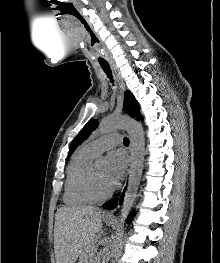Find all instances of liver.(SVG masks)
<instances>
[{
  "label": "liver",
  "mask_w": 220,
  "mask_h": 263,
  "mask_svg": "<svg viewBox=\"0 0 220 263\" xmlns=\"http://www.w3.org/2000/svg\"><path fill=\"white\" fill-rule=\"evenodd\" d=\"M101 210L93 206H63L57 209L54 226L56 263H89V250L101 231Z\"/></svg>",
  "instance_id": "obj_1"
}]
</instances>
